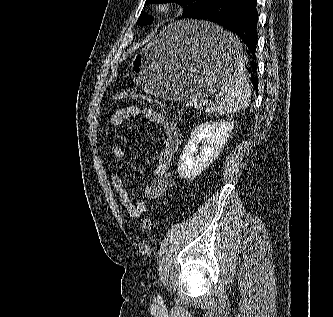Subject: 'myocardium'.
I'll use <instances>...</instances> for the list:
<instances>
[{"mask_svg": "<svg viewBox=\"0 0 333 317\" xmlns=\"http://www.w3.org/2000/svg\"><path fill=\"white\" fill-rule=\"evenodd\" d=\"M175 5L172 1L163 0L155 4L154 11L161 16H167L173 12Z\"/></svg>", "mask_w": 333, "mask_h": 317, "instance_id": "obj_1", "label": "myocardium"}]
</instances>
